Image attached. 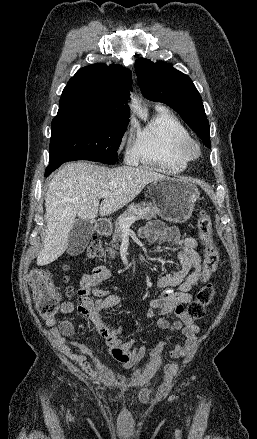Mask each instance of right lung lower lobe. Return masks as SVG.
I'll use <instances>...</instances> for the list:
<instances>
[{"mask_svg": "<svg viewBox=\"0 0 257 439\" xmlns=\"http://www.w3.org/2000/svg\"><path fill=\"white\" fill-rule=\"evenodd\" d=\"M61 164H57V165H49L45 171V177H47L48 175L51 174L52 171H54L55 169H57Z\"/></svg>", "mask_w": 257, "mask_h": 439, "instance_id": "right-lung-lower-lobe-1", "label": "right lung lower lobe"}]
</instances>
